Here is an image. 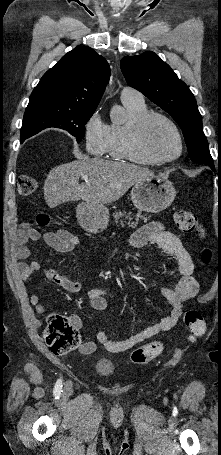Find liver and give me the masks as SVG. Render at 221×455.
<instances>
[{
    "instance_id": "1",
    "label": "liver",
    "mask_w": 221,
    "mask_h": 455,
    "mask_svg": "<svg viewBox=\"0 0 221 455\" xmlns=\"http://www.w3.org/2000/svg\"><path fill=\"white\" fill-rule=\"evenodd\" d=\"M82 175L88 181L79 184ZM154 172L134 164L86 159L51 169L44 183V198L50 208L82 199L89 204H107L120 199L138 181Z\"/></svg>"
}]
</instances>
